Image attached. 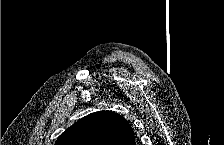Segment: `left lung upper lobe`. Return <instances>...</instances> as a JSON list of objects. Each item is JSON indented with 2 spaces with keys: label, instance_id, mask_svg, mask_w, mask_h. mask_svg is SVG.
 <instances>
[{
  "label": "left lung upper lobe",
  "instance_id": "5c2ea615",
  "mask_svg": "<svg viewBox=\"0 0 224 145\" xmlns=\"http://www.w3.org/2000/svg\"><path fill=\"white\" fill-rule=\"evenodd\" d=\"M55 145H135L126 119L111 111L91 113L62 133Z\"/></svg>",
  "mask_w": 224,
  "mask_h": 145
}]
</instances>
